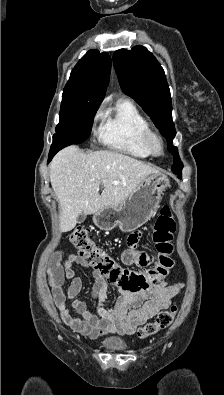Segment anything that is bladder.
<instances>
[{"instance_id":"1","label":"bladder","mask_w":224,"mask_h":395,"mask_svg":"<svg viewBox=\"0 0 224 395\" xmlns=\"http://www.w3.org/2000/svg\"><path fill=\"white\" fill-rule=\"evenodd\" d=\"M100 346L108 351L122 352L128 348V343L121 337L112 336L104 339Z\"/></svg>"}]
</instances>
